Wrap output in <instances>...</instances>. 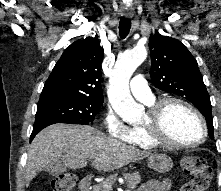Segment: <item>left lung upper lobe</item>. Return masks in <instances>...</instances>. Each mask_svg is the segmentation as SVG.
Here are the masks:
<instances>
[{
	"mask_svg": "<svg viewBox=\"0 0 221 191\" xmlns=\"http://www.w3.org/2000/svg\"><path fill=\"white\" fill-rule=\"evenodd\" d=\"M149 41L154 86L193 103L204 115L209 137L214 139L210 97L196 59L179 40L156 33Z\"/></svg>",
	"mask_w": 221,
	"mask_h": 191,
	"instance_id": "5c2ea615",
	"label": "left lung upper lobe"
}]
</instances>
